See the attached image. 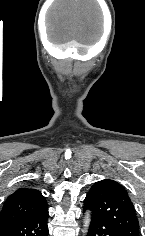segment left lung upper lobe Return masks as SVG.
I'll return each mask as SVG.
<instances>
[{"instance_id":"obj_1","label":"left lung upper lobe","mask_w":145,"mask_h":236,"mask_svg":"<svg viewBox=\"0 0 145 236\" xmlns=\"http://www.w3.org/2000/svg\"><path fill=\"white\" fill-rule=\"evenodd\" d=\"M115 228L122 236H139V222L127 191L118 182H96L84 199V209Z\"/></svg>"}]
</instances>
